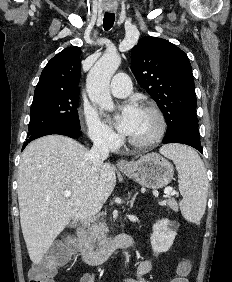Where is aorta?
Wrapping results in <instances>:
<instances>
[{"label": "aorta", "mask_w": 232, "mask_h": 282, "mask_svg": "<svg viewBox=\"0 0 232 282\" xmlns=\"http://www.w3.org/2000/svg\"><path fill=\"white\" fill-rule=\"evenodd\" d=\"M120 63L121 58L116 51L106 52L87 76L86 87L89 98L102 109L109 111L114 109L109 84Z\"/></svg>", "instance_id": "aorta-1"}]
</instances>
